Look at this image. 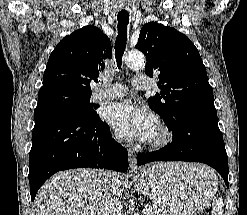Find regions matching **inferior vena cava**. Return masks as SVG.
<instances>
[{"label": "inferior vena cava", "instance_id": "obj_1", "mask_svg": "<svg viewBox=\"0 0 247 215\" xmlns=\"http://www.w3.org/2000/svg\"><path fill=\"white\" fill-rule=\"evenodd\" d=\"M103 181L109 190L105 200L104 215H122L120 181L110 171L104 173Z\"/></svg>", "mask_w": 247, "mask_h": 215}]
</instances>
